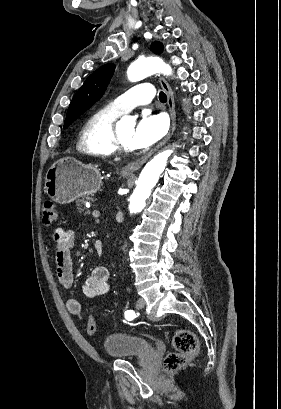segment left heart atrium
<instances>
[{
  "mask_svg": "<svg viewBox=\"0 0 281 409\" xmlns=\"http://www.w3.org/2000/svg\"><path fill=\"white\" fill-rule=\"evenodd\" d=\"M167 131L163 115H146L134 129L132 144L134 148H148L159 141Z\"/></svg>",
  "mask_w": 281,
  "mask_h": 409,
  "instance_id": "left-heart-atrium-1",
  "label": "left heart atrium"
}]
</instances>
